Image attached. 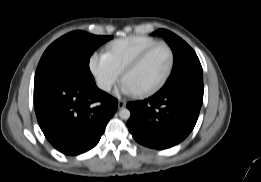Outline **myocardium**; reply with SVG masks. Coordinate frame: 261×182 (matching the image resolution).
Wrapping results in <instances>:
<instances>
[{"label": "myocardium", "mask_w": 261, "mask_h": 182, "mask_svg": "<svg viewBox=\"0 0 261 182\" xmlns=\"http://www.w3.org/2000/svg\"><path fill=\"white\" fill-rule=\"evenodd\" d=\"M159 47H164L169 52L170 60H169L168 68H167L164 76L156 84H154L153 86H151L147 89L136 92L135 94L138 96H145V95L152 94V93L156 92L157 90H159L168 81L169 77L172 74L174 64H175L174 50L172 49V47L169 44H167L165 42H158V43L150 46L146 50H144L141 54H139L130 64H128L126 66V68L122 72V80L125 81V78L127 77V75L129 73H131L132 71L136 70L146 60V58L154 50H156Z\"/></svg>", "instance_id": "f54148a6"}]
</instances>
